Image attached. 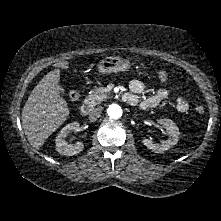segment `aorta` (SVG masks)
Masks as SVG:
<instances>
[{
	"label": "aorta",
	"mask_w": 221,
	"mask_h": 221,
	"mask_svg": "<svg viewBox=\"0 0 221 221\" xmlns=\"http://www.w3.org/2000/svg\"><path fill=\"white\" fill-rule=\"evenodd\" d=\"M107 114L110 118L117 120L122 116L123 110L118 104H111L107 108Z\"/></svg>",
	"instance_id": "obj_1"
}]
</instances>
